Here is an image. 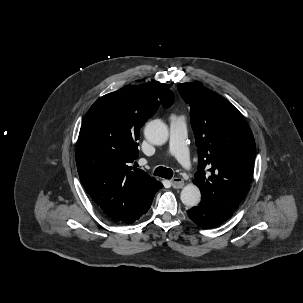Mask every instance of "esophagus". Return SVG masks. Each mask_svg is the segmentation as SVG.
<instances>
[{
	"instance_id": "obj_1",
	"label": "esophagus",
	"mask_w": 303,
	"mask_h": 303,
	"mask_svg": "<svg viewBox=\"0 0 303 303\" xmlns=\"http://www.w3.org/2000/svg\"><path fill=\"white\" fill-rule=\"evenodd\" d=\"M173 188L179 189L184 186V180L181 177H175L171 180Z\"/></svg>"
}]
</instances>
